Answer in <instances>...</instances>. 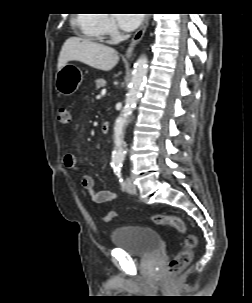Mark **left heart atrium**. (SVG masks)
Masks as SVG:
<instances>
[{
    "mask_svg": "<svg viewBox=\"0 0 252 303\" xmlns=\"http://www.w3.org/2000/svg\"><path fill=\"white\" fill-rule=\"evenodd\" d=\"M118 25L125 31L134 30L141 22L142 15L137 14H115Z\"/></svg>",
    "mask_w": 252,
    "mask_h": 303,
    "instance_id": "obj_1",
    "label": "left heart atrium"
}]
</instances>
